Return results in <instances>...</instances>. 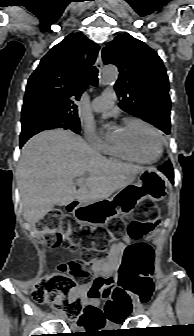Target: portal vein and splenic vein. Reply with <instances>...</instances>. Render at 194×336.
Wrapping results in <instances>:
<instances>
[{"label":"portal vein and splenic vein","mask_w":194,"mask_h":336,"mask_svg":"<svg viewBox=\"0 0 194 336\" xmlns=\"http://www.w3.org/2000/svg\"><path fill=\"white\" fill-rule=\"evenodd\" d=\"M82 182V180H79V183H81Z\"/></svg>","instance_id":"portal-vein-and-splenic-vein-1"}]
</instances>
